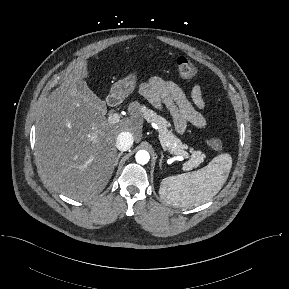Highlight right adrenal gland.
Masks as SVG:
<instances>
[{
  "instance_id": "2a0ac1e0",
  "label": "right adrenal gland",
  "mask_w": 289,
  "mask_h": 289,
  "mask_svg": "<svg viewBox=\"0 0 289 289\" xmlns=\"http://www.w3.org/2000/svg\"><path fill=\"white\" fill-rule=\"evenodd\" d=\"M122 154H123V152H121V153H119V154L117 155V158H116V165L118 164V161H119L120 157L122 156Z\"/></svg>"
}]
</instances>
